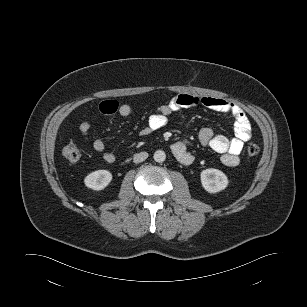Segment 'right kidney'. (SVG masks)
<instances>
[{"instance_id":"ca27d5eb","label":"right kidney","mask_w":307,"mask_h":307,"mask_svg":"<svg viewBox=\"0 0 307 307\" xmlns=\"http://www.w3.org/2000/svg\"><path fill=\"white\" fill-rule=\"evenodd\" d=\"M112 180V174L107 170H97L88 174L84 183L93 190H103Z\"/></svg>"}]
</instances>
